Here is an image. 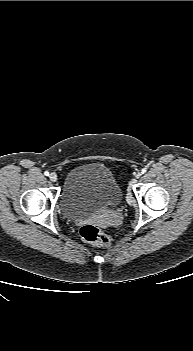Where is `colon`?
Listing matches in <instances>:
<instances>
[{
    "label": "colon",
    "mask_w": 193,
    "mask_h": 351,
    "mask_svg": "<svg viewBox=\"0 0 193 351\" xmlns=\"http://www.w3.org/2000/svg\"><path fill=\"white\" fill-rule=\"evenodd\" d=\"M81 237L97 246L106 247L110 240L108 236L95 224H86L80 230Z\"/></svg>",
    "instance_id": "colon-1"
}]
</instances>
